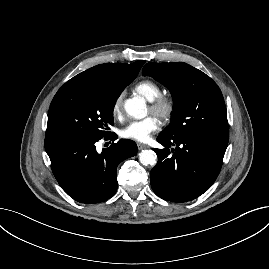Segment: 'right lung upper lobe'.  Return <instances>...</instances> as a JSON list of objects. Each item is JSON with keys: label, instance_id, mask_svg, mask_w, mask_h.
<instances>
[{"label": "right lung upper lobe", "instance_id": "cb5924a9", "mask_svg": "<svg viewBox=\"0 0 269 269\" xmlns=\"http://www.w3.org/2000/svg\"><path fill=\"white\" fill-rule=\"evenodd\" d=\"M144 63L145 61L141 60L132 64H100L76 75L71 80L115 79L119 81H128L136 78Z\"/></svg>", "mask_w": 269, "mask_h": 269}]
</instances>
